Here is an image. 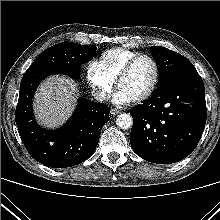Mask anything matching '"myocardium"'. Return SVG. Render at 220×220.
<instances>
[{
    "label": "myocardium",
    "mask_w": 220,
    "mask_h": 220,
    "mask_svg": "<svg viewBox=\"0 0 220 220\" xmlns=\"http://www.w3.org/2000/svg\"><path fill=\"white\" fill-rule=\"evenodd\" d=\"M142 58H145L152 63L153 69H154V75H153L152 82L150 86L148 87V89L143 94H141L139 97L134 99V101L137 103H140L148 99L154 93V91L156 90L158 86L159 79H160V67H159L157 60L149 54L138 53L137 55L133 56L131 59L127 61V63L122 67V69L119 71L118 75L115 78L116 85L118 86L120 80L123 77H125L131 71V69L136 64V62Z\"/></svg>",
    "instance_id": "1"
}]
</instances>
